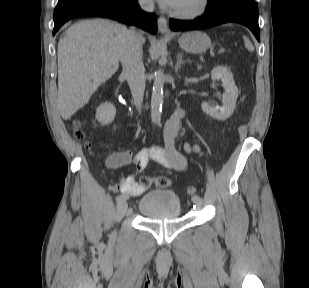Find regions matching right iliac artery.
<instances>
[{
	"label": "right iliac artery",
	"mask_w": 309,
	"mask_h": 288,
	"mask_svg": "<svg viewBox=\"0 0 309 288\" xmlns=\"http://www.w3.org/2000/svg\"><path fill=\"white\" fill-rule=\"evenodd\" d=\"M119 195H120V196H119ZM119 195H118V197L116 198L117 201H119L120 199L124 201V200H126V198H130V197H131V194H130V193H126V194H125V192H123V191L120 192Z\"/></svg>",
	"instance_id": "obj_1"
}]
</instances>
